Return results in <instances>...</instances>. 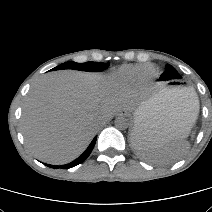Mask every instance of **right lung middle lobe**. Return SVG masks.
I'll list each match as a JSON object with an SVG mask.
<instances>
[{"label":"right lung middle lobe","mask_w":212,"mask_h":212,"mask_svg":"<svg viewBox=\"0 0 212 212\" xmlns=\"http://www.w3.org/2000/svg\"><path fill=\"white\" fill-rule=\"evenodd\" d=\"M108 66L109 64L107 63H96V62L76 63L73 61H69L53 68L52 70L76 69L81 71L99 72L107 69Z\"/></svg>","instance_id":"right-lung-middle-lobe-1"}]
</instances>
